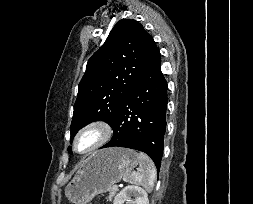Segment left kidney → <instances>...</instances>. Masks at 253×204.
I'll use <instances>...</instances> for the list:
<instances>
[{
	"mask_svg": "<svg viewBox=\"0 0 253 204\" xmlns=\"http://www.w3.org/2000/svg\"><path fill=\"white\" fill-rule=\"evenodd\" d=\"M131 197H134V199H131ZM125 201H132L133 204H149L147 192L134 185L122 189L115 197L114 204H123Z\"/></svg>",
	"mask_w": 253,
	"mask_h": 204,
	"instance_id": "obj_1",
	"label": "left kidney"
}]
</instances>
